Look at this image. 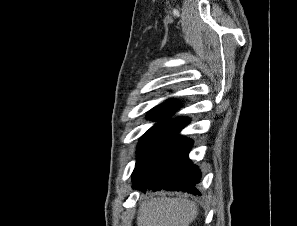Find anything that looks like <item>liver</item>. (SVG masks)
I'll return each instance as SVG.
<instances>
[{
  "instance_id": "1",
  "label": "liver",
  "mask_w": 297,
  "mask_h": 226,
  "mask_svg": "<svg viewBox=\"0 0 297 226\" xmlns=\"http://www.w3.org/2000/svg\"><path fill=\"white\" fill-rule=\"evenodd\" d=\"M198 212V205L186 198H151L140 204L137 226H189Z\"/></svg>"
}]
</instances>
